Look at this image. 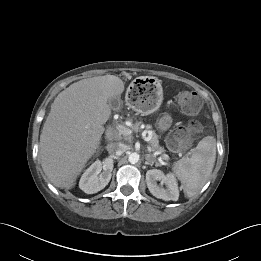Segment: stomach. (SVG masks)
Segmentation results:
<instances>
[{
    "label": "stomach",
    "mask_w": 261,
    "mask_h": 261,
    "mask_svg": "<svg viewBox=\"0 0 261 261\" xmlns=\"http://www.w3.org/2000/svg\"><path fill=\"white\" fill-rule=\"evenodd\" d=\"M128 90L127 103L136 112L147 116L156 112L163 101V88L157 78L142 77L133 81Z\"/></svg>",
    "instance_id": "0dacf381"
}]
</instances>
